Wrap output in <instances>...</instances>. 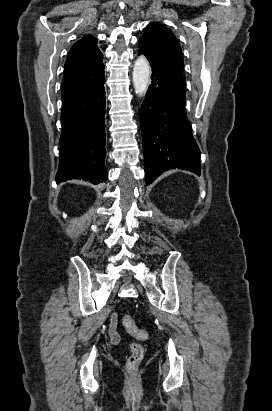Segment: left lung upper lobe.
<instances>
[{
	"instance_id": "5c2ea615",
	"label": "left lung upper lobe",
	"mask_w": 272,
	"mask_h": 411,
	"mask_svg": "<svg viewBox=\"0 0 272 411\" xmlns=\"http://www.w3.org/2000/svg\"><path fill=\"white\" fill-rule=\"evenodd\" d=\"M138 54H144L151 67L186 86L181 47L172 31L156 23L149 24L139 40Z\"/></svg>"
}]
</instances>
